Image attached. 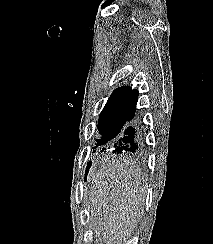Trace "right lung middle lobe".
<instances>
[{
	"instance_id": "obj_1",
	"label": "right lung middle lobe",
	"mask_w": 213,
	"mask_h": 244,
	"mask_svg": "<svg viewBox=\"0 0 213 244\" xmlns=\"http://www.w3.org/2000/svg\"><path fill=\"white\" fill-rule=\"evenodd\" d=\"M137 99L129 97L109 98L99 116L98 129L102 135L97 141V146L115 140L126 124L135 116Z\"/></svg>"
}]
</instances>
